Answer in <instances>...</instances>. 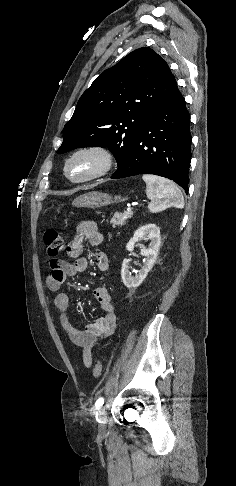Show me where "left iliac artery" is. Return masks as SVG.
Here are the masks:
<instances>
[{"mask_svg": "<svg viewBox=\"0 0 236 486\" xmlns=\"http://www.w3.org/2000/svg\"><path fill=\"white\" fill-rule=\"evenodd\" d=\"M103 403H104V399L101 397V398H99V399L96 401V403H95V407H96V408H99V407H101V406L103 405Z\"/></svg>", "mask_w": 236, "mask_h": 486, "instance_id": "left-iliac-artery-1", "label": "left iliac artery"}]
</instances>
